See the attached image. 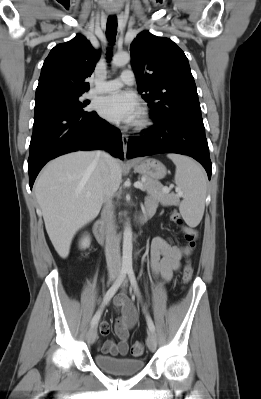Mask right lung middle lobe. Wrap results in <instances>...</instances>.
<instances>
[{"label": "right lung middle lobe", "mask_w": 261, "mask_h": 399, "mask_svg": "<svg viewBox=\"0 0 261 399\" xmlns=\"http://www.w3.org/2000/svg\"><path fill=\"white\" fill-rule=\"evenodd\" d=\"M81 95L82 94L62 95L35 100V113L60 109L81 116L89 115L92 112L83 110L89 101H85V103L80 102L79 97Z\"/></svg>", "instance_id": "right-lung-middle-lobe-1"}]
</instances>
